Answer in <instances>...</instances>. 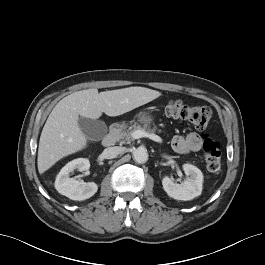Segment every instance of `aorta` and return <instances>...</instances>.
Instances as JSON below:
<instances>
[{"label":"aorta","instance_id":"aorta-1","mask_svg":"<svg viewBox=\"0 0 265 265\" xmlns=\"http://www.w3.org/2000/svg\"><path fill=\"white\" fill-rule=\"evenodd\" d=\"M133 159L139 164L146 163L148 161V153L145 148H137L133 151Z\"/></svg>","mask_w":265,"mask_h":265}]
</instances>
